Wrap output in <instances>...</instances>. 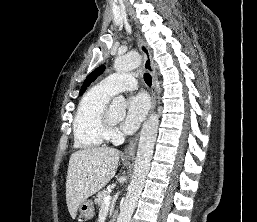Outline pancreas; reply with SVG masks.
<instances>
[{
    "label": "pancreas",
    "mask_w": 257,
    "mask_h": 222,
    "mask_svg": "<svg viewBox=\"0 0 257 222\" xmlns=\"http://www.w3.org/2000/svg\"><path fill=\"white\" fill-rule=\"evenodd\" d=\"M107 195H110V190H108V189H104L97 194L96 199H95V203L98 207L103 206L104 197L107 196ZM111 222H113V221H111Z\"/></svg>",
    "instance_id": "1"
}]
</instances>
